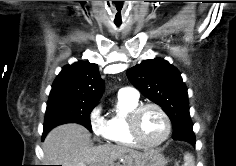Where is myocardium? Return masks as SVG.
Instances as JSON below:
<instances>
[{"label":"myocardium","mask_w":236,"mask_h":166,"mask_svg":"<svg viewBox=\"0 0 236 166\" xmlns=\"http://www.w3.org/2000/svg\"><path fill=\"white\" fill-rule=\"evenodd\" d=\"M157 110L164 119L165 122V133L163 137L154 143H148L144 141L139 132V119L141 114L147 109ZM128 128L132 139L140 146L144 148H155L162 145L168 138L171 132V121L165 110L156 103H145L138 105L128 116Z\"/></svg>","instance_id":"myocardium-1"}]
</instances>
